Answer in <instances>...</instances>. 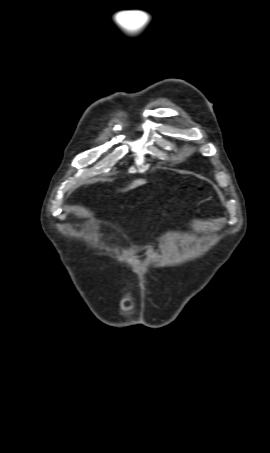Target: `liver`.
<instances>
[{"label": "liver", "mask_w": 270, "mask_h": 453, "mask_svg": "<svg viewBox=\"0 0 270 453\" xmlns=\"http://www.w3.org/2000/svg\"><path fill=\"white\" fill-rule=\"evenodd\" d=\"M146 183V180L144 179H137V180H134L127 188H125L123 191H128V190H131V189H134L138 186H141V185H144Z\"/></svg>", "instance_id": "obj_1"}]
</instances>
